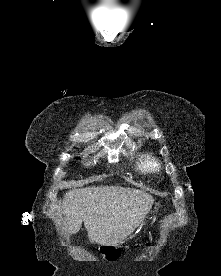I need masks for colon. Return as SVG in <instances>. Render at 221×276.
<instances>
[{
  "label": "colon",
  "instance_id": "1",
  "mask_svg": "<svg viewBox=\"0 0 221 276\" xmlns=\"http://www.w3.org/2000/svg\"><path fill=\"white\" fill-rule=\"evenodd\" d=\"M133 247H140V242H133ZM129 248V245L128 244H125L123 247H122V250L123 251H126L127 249ZM118 246H108V245H105L104 246V249L101 251V253L110 261H114L116 260L119 255H120V251L118 250Z\"/></svg>",
  "mask_w": 221,
  "mask_h": 276
}]
</instances>
